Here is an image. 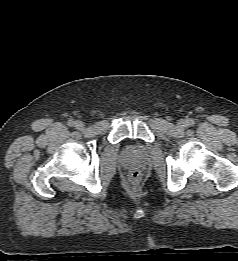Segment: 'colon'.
Masks as SVG:
<instances>
[{
	"label": "colon",
	"mask_w": 238,
	"mask_h": 261,
	"mask_svg": "<svg viewBox=\"0 0 238 261\" xmlns=\"http://www.w3.org/2000/svg\"><path fill=\"white\" fill-rule=\"evenodd\" d=\"M129 181L133 184H137L140 181V173L137 171L129 174Z\"/></svg>",
	"instance_id": "colon-1"
}]
</instances>
